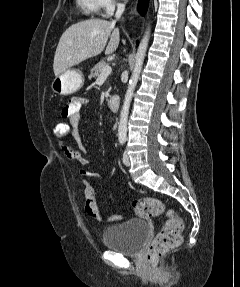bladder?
I'll return each instance as SVG.
<instances>
[{
    "label": "bladder",
    "mask_w": 240,
    "mask_h": 287,
    "mask_svg": "<svg viewBox=\"0 0 240 287\" xmlns=\"http://www.w3.org/2000/svg\"><path fill=\"white\" fill-rule=\"evenodd\" d=\"M149 235L148 223L144 219L132 218L106 227L103 231V244L124 255L137 256L143 250Z\"/></svg>",
    "instance_id": "1"
}]
</instances>
